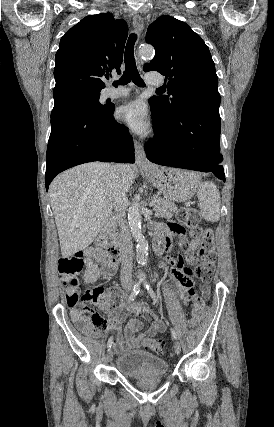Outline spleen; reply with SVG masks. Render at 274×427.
<instances>
[{
	"label": "spleen",
	"instance_id": "obj_1",
	"mask_svg": "<svg viewBox=\"0 0 274 427\" xmlns=\"http://www.w3.org/2000/svg\"><path fill=\"white\" fill-rule=\"evenodd\" d=\"M197 198L202 217L206 221H219L220 219V194L213 182L199 184Z\"/></svg>",
	"mask_w": 274,
	"mask_h": 427
}]
</instances>
